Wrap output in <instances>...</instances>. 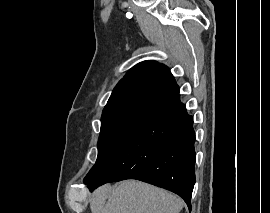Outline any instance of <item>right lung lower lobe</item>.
<instances>
[{
	"label": "right lung lower lobe",
	"instance_id": "obj_1",
	"mask_svg": "<svg viewBox=\"0 0 270 213\" xmlns=\"http://www.w3.org/2000/svg\"><path fill=\"white\" fill-rule=\"evenodd\" d=\"M194 143L193 118L176 95L156 105L109 163L85 183L93 190L107 182L144 181L178 194L191 210Z\"/></svg>",
	"mask_w": 270,
	"mask_h": 213
}]
</instances>
